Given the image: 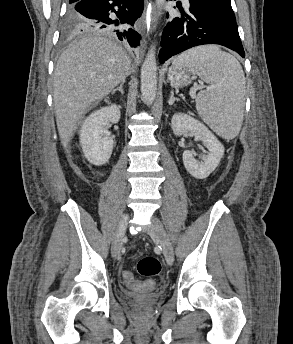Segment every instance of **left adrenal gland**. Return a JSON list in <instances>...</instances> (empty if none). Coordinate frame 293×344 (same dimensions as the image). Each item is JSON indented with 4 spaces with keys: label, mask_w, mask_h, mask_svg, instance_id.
<instances>
[{
    "label": "left adrenal gland",
    "mask_w": 293,
    "mask_h": 344,
    "mask_svg": "<svg viewBox=\"0 0 293 344\" xmlns=\"http://www.w3.org/2000/svg\"><path fill=\"white\" fill-rule=\"evenodd\" d=\"M175 101H179V99L178 98H175L174 97V92L173 91H171V95H170V98H169V101H168V103H169V105L171 106V105H173L174 104V102Z\"/></svg>",
    "instance_id": "obj_1"
}]
</instances>
